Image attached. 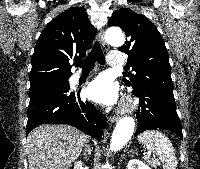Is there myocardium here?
Returning <instances> with one entry per match:
<instances>
[{
  "instance_id": "myocardium-1",
  "label": "myocardium",
  "mask_w": 200,
  "mask_h": 169,
  "mask_svg": "<svg viewBox=\"0 0 200 169\" xmlns=\"http://www.w3.org/2000/svg\"><path fill=\"white\" fill-rule=\"evenodd\" d=\"M135 103L132 98L127 97L122 105L121 111L123 113H130L134 110Z\"/></svg>"
}]
</instances>
